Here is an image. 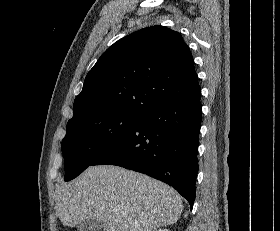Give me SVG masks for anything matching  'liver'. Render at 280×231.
Returning <instances> with one entry per match:
<instances>
[{
  "label": "liver",
  "instance_id": "6515ba94",
  "mask_svg": "<svg viewBox=\"0 0 280 231\" xmlns=\"http://www.w3.org/2000/svg\"><path fill=\"white\" fill-rule=\"evenodd\" d=\"M56 209L63 225L93 217L104 231H153L179 219L182 199L166 183L118 165H91L62 183Z\"/></svg>",
  "mask_w": 280,
  "mask_h": 231
}]
</instances>
